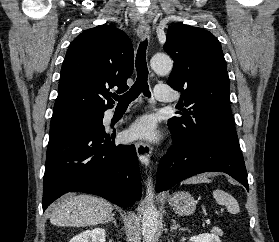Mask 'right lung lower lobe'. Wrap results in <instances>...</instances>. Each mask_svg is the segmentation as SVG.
Listing matches in <instances>:
<instances>
[{"instance_id": "98d812e1", "label": "right lung lower lobe", "mask_w": 279, "mask_h": 242, "mask_svg": "<svg viewBox=\"0 0 279 242\" xmlns=\"http://www.w3.org/2000/svg\"><path fill=\"white\" fill-rule=\"evenodd\" d=\"M103 116L91 130L49 140L43 181L45 210L64 193L79 191L101 196L120 207L141 197V176L134 145H116L105 131Z\"/></svg>"}]
</instances>
